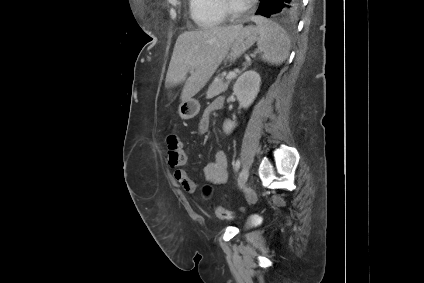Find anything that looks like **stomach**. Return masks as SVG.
<instances>
[{"label": "stomach", "mask_w": 424, "mask_h": 283, "mask_svg": "<svg viewBox=\"0 0 424 283\" xmlns=\"http://www.w3.org/2000/svg\"><path fill=\"white\" fill-rule=\"evenodd\" d=\"M258 30L253 26L242 28L233 43L229 48V58L235 61L247 49H249L258 39ZM200 111V104L194 98H187L182 100L178 108V114L181 119L188 120L195 117Z\"/></svg>", "instance_id": "1"}]
</instances>
